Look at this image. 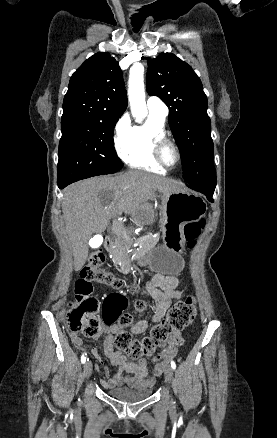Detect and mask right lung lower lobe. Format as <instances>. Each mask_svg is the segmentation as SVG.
I'll list each match as a JSON object with an SVG mask.
<instances>
[{
  "mask_svg": "<svg viewBox=\"0 0 277 438\" xmlns=\"http://www.w3.org/2000/svg\"><path fill=\"white\" fill-rule=\"evenodd\" d=\"M68 184H70V183H67V182H64V183H58V187H59L60 189H63V188L66 187Z\"/></svg>",
  "mask_w": 277,
  "mask_h": 438,
  "instance_id": "right-lung-lower-lobe-1",
  "label": "right lung lower lobe"
}]
</instances>
